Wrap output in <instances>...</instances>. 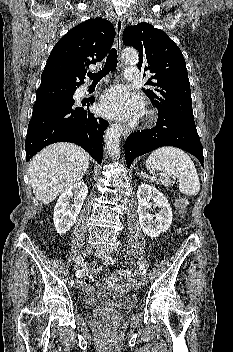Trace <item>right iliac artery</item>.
Masks as SVG:
<instances>
[{
    "label": "right iliac artery",
    "mask_w": 233,
    "mask_h": 352,
    "mask_svg": "<svg viewBox=\"0 0 233 352\" xmlns=\"http://www.w3.org/2000/svg\"><path fill=\"white\" fill-rule=\"evenodd\" d=\"M75 262H76V264H78V265H82L83 262H84V258H83L82 256H77L76 259H75ZM69 284H70L71 286H73V285H74V280L71 279V280L69 281Z\"/></svg>",
    "instance_id": "82829eb1"
}]
</instances>
